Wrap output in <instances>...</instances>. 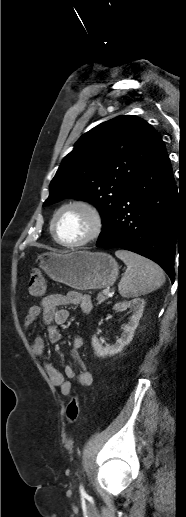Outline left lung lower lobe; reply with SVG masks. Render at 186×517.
<instances>
[{"mask_svg": "<svg viewBox=\"0 0 186 517\" xmlns=\"http://www.w3.org/2000/svg\"><path fill=\"white\" fill-rule=\"evenodd\" d=\"M177 194L170 160L162 144L131 182L96 246L118 247L145 256L159 264L173 282Z\"/></svg>", "mask_w": 186, "mask_h": 517, "instance_id": "left-lung-lower-lobe-1", "label": "left lung lower lobe"}]
</instances>
